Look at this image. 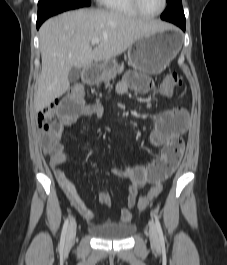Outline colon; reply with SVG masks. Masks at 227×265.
<instances>
[{
    "label": "colon",
    "mask_w": 227,
    "mask_h": 265,
    "mask_svg": "<svg viewBox=\"0 0 227 265\" xmlns=\"http://www.w3.org/2000/svg\"><path fill=\"white\" fill-rule=\"evenodd\" d=\"M181 85H182L181 77L175 72H170L166 75L162 83L161 86L162 94L166 97H169L172 95L173 90L175 88L180 87ZM68 91H84V89L82 85L75 84ZM65 96H67V93L65 94ZM59 102L60 101H57L53 104L46 106L38 113L39 127L46 134L42 140L43 147H48L52 143V139L49 132L51 128V123L54 120L55 115L57 113V105H59ZM180 157L181 153L179 151L168 152L162 157L160 164L161 166H163L168 170H174V168L178 165ZM161 191H162V185L160 183L155 184L150 189L147 196L139 199L138 207L140 209L147 208L153 202V200L160 195Z\"/></svg>",
    "instance_id": "1"
}]
</instances>
